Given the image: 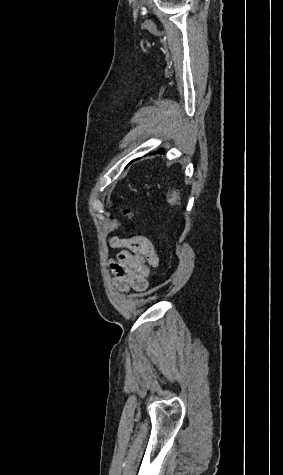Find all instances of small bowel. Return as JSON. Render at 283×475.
I'll use <instances>...</instances> for the list:
<instances>
[{"label": "small bowel", "mask_w": 283, "mask_h": 475, "mask_svg": "<svg viewBox=\"0 0 283 475\" xmlns=\"http://www.w3.org/2000/svg\"><path fill=\"white\" fill-rule=\"evenodd\" d=\"M105 233L108 235L110 232L107 230ZM105 246L125 248L109 261L116 288L123 293L146 291L152 269L158 268L160 264L153 243L146 237L138 236L125 243L121 239H107Z\"/></svg>", "instance_id": "obj_1"}]
</instances>
